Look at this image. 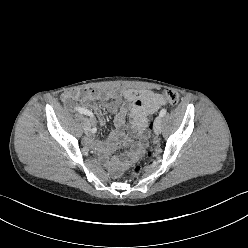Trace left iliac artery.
I'll list each match as a JSON object with an SVG mask.
<instances>
[{
    "instance_id": "left-iliac-artery-1",
    "label": "left iliac artery",
    "mask_w": 248,
    "mask_h": 248,
    "mask_svg": "<svg viewBox=\"0 0 248 248\" xmlns=\"http://www.w3.org/2000/svg\"><path fill=\"white\" fill-rule=\"evenodd\" d=\"M167 110L164 108L160 111L159 116L163 117L166 114Z\"/></svg>"
}]
</instances>
